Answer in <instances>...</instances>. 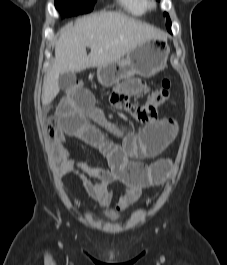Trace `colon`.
Wrapping results in <instances>:
<instances>
[{"instance_id": "obj_1", "label": "colon", "mask_w": 227, "mask_h": 265, "mask_svg": "<svg viewBox=\"0 0 227 265\" xmlns=\"http://www.w3.org/2000/svg\"><path fill=\"white\" fill-rule=\"evenodd\" d=\"M172 85L173 81L171 79H164L161 83V86L151 93L147 103L145 105L138 106L142 108V111L135 112L137 119L148 123L155 122L157 120L158 115L157 108L168 102L170 99ZM70 87H82V85L79 83H75ZM58 126L59 123L55 118H50L48 120L47 128L49 135L52 138L56 136ZM170 167L171 161L169 159H161L159 161H156L151 169L152 175L160 181L166 176Z\"/></svg>"}]
</instances>
